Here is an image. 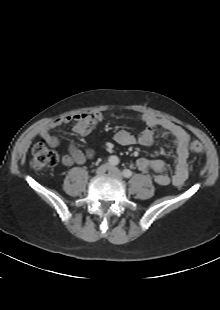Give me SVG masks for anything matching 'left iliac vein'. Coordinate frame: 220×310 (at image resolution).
Segmentation results:
<instances>
[{"label": "left iliac vein", "instance_id": "1", "mask_svg": "<svg viewBox=\"0 0 220 310\" xmlns=\"http://www.w3.org/2000/svg\"><path fill=\"white\" fill-rule=\"evenodd\" d=\"M109 173L112 175V176H114V177H116V178H122V176H123V174H122V172L118 169V168H116V167H109Z\"/></svg>", "mask_w": 220, "mask_h": 310}]
</instances>
